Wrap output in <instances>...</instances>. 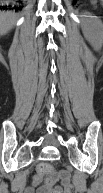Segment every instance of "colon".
<instances>
[{"label":"colon","instance_id":"1","mask_svg":"<svg viewBox=\"0 0 103 193\" xmlns=\"http://www.w3.org/2000/svg\"><path fill=\"white\" fill-rule=\"evenodd\" d=\"M37 174L44 178L45 183L48 186H52L56 181L57 177L53 175V168L49 163H42L37 167ZM62 176V174H59V177Z\"/></svg>","mask_w":103,"mask_h":193}]
</instances>
